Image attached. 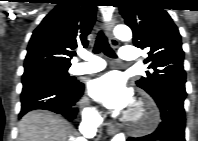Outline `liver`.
Instances as JSON below:
<instances>
[{
  "instance_id": "6515ba94",
  "label": "liver",
  "mask_w": 198,
  "mask_h": 141,
  "mask_svg": "<svg viewBox=\"0 0 198 141\" xmlns=\"http://www.w3.org/2000/svg\"><path fill=\"white\" fill-rule=\"evenodd\" d=\"M18 141H76L72 125L49 111L35 110L19 122Z\"/></svg>"
}]
</instances>
